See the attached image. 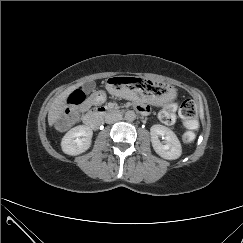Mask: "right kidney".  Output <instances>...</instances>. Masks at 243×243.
<instances>
[{
  "mask_svg": "<svg viewBox=\"0 0 243 243\" xmlns=\"http://www.w3.org/2000/svg\"><path fill=\"white\" fill-rule=\"evenodd\" d=\"M92 130L84 125H79L69 130L61 141L62 151L68 155H79L91 145Z\"/></svg>",
  "mask_w": 243,
  "mask_h": 243,
  "instance_id": "ca27d5eb",
  "label": "right kidney"
}]
</instances>
